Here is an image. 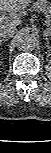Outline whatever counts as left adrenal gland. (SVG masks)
Here are the masks:
<instances>
[{
	"label": "left adrenal gland",
	"mask_w": 51,
	"mask_h": 153,
	"mask_svg": "<svg viewBox=\"0 0 51 153\" xmlns=\"http://www.w3.org/2000/svg\"><path fill=\"white\" fill-rule=\"evenodd\" d=\"M45 40L47 41L48 45H49V39L48 38H45Z\"/></svg>",
	"instance_id": "a2214340"
}]
</instances>
